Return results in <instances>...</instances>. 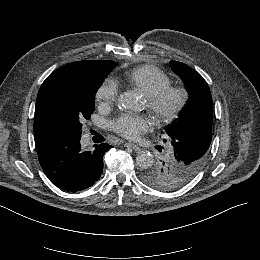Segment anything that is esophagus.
Listing matches in <instances>:
<instances>
[{"mask_svg":"<svg viewBox=\"0 0 260 260\" xmlns=\"http://www.w3.org/2000/svg\"><path fill=\"white\" fill-rule=\"evenodd\" d=\"M126 145L128 147L132 148L133 150H135L136 152H140L141 151V148L137 144H135L133 142H127Z\"/></svg>","mask_w":260,"mask_h":260,"instance_id":"1","label":"esophagus"}]
</instances>
